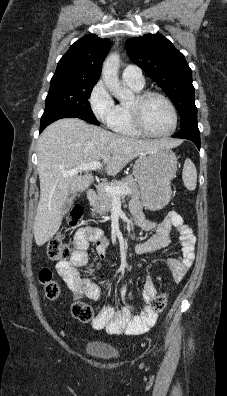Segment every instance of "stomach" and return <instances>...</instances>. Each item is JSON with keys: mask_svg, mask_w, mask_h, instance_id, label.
<instances>
[{"mask_svg": "<svg viewBox=\"0 0 227 396\" xmlns=\"http://www.w3.org/2000/svg\"><path fill=\"white\" fill-rule=\"evenodd\" d=\"M176 171V155L168 148H154L138 156L133 166V174L146 208L156 211L169 203L172 196L171 180Z\"/></svg>", "mask_w": 227, "mask_h": 396, "instance_id": "stomach-1", "label": "stomach"}]
</instances>
